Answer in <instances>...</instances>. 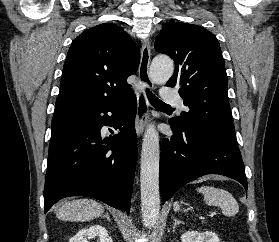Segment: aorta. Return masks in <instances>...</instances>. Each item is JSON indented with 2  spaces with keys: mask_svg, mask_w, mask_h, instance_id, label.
Returning <instances> with one entry per match:
<instances>
[{
  "mask_svg": "<svg viewBox=\"0 0 279 242\" xmlns=\"http://www.w3.org/2000/svg\"><path fill=\"white\" fill-rule=\"evenodd\" d=\"M173 72L171 58L165 55L154 57L150 66V77L154 83L165 84ZM159 159V134L154 124H149L143 138L140 166L142 218L147 228L154 227L159 218Z\"/></svg>",
  "mask_w": 279,
  "mask_h": 242,
  "instance_id": "aorta-1",
  "label": "aorta"
}]
</instances>
